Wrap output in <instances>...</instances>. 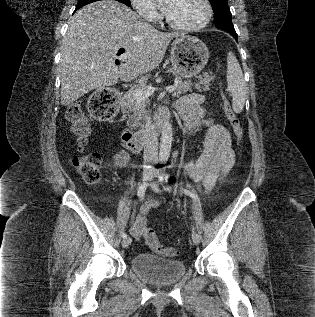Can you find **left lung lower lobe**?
I'll return each mask as SVG.
<instances>
[{
	"mask_svg": "<svg viewBox=\"0 0 315 317\" xmlns=\"http://www.w3.org/2000/svg\"><path fill=\"white\" fill-rule=\"evenodd\" d=\"M226 32L230 33L235 38V40L238 42V37H237L236 31H226Z\"/></svg>",
	"mask_w": 315,
	"mask_h": 317,
	"instance_id": "obj_1",
	"label": "left lung lower lobe"
}]
</instances>
